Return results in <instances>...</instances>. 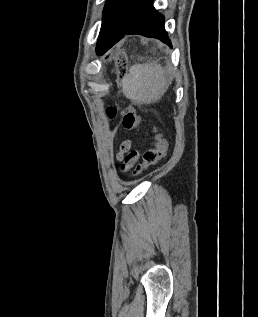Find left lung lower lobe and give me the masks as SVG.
<instances>
[{
	"label": "left lung lower lobe",
	"mask_w": 258,
	"mask_h": 317,
	"mask_svg": "<svg viewBox=\"0 0 258 317\" xmlns=\"http://www.w3.org/2000/svg\"><path fill=\"white\" fill-rule=\"evenodd\" d=\"M154 0H132L128 7L126 22L122 28H101L96 52L102 55L125 34H139L157 38L172 47L164 28V16L153 7Z\"/></svg>",
	"instance_id": "1"
}]
</instances>
